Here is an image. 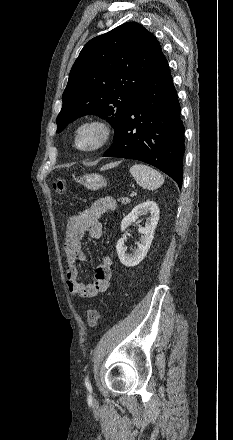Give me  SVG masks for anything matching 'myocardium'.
<instances>
[{"instance_id": "f54148a6", "label": "myocardium", "mask_w": 233, "mask_h": 440, "mask_svg": "<svg viewBox=\"0 0 233 440\" xmlns=\"http://www.w3.org/2000/svg\"><path fill=\"white\" fill-rule=\"evenodd\" d=\"M87 127H94L97 128L100 132V139L99 141L92 147H81L79 145V135L82 130H84ZM114 135V129L112 125L102 118H89L84 121H82L75 129L74 131V146L76 149L83 151V152H96L103 148H105L110 141L112 140Z\"/></svg>"}]
</instances>
